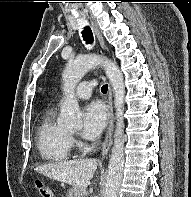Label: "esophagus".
Wrapping results in <instances>:
<instances>
[{
	"label": "esophagus",
	"mask_w": 191,
	"mask_h": 197,
	"mask_svg": "<svg viewBox=\"0 0 191 197\" xmlns=\"http://www.w3.org/2000/svg\"><path fill=\"white\" fill-rule=\"evenodd\" d=\"M91 24H92L94 33L99 41L100 46L102 47L103 50H106L105 42H104L101 32L99 31L98 27L94 24L93 21L91 22ZM108 109H109V123H108L107 132L105 135V140L102 146V152H101L102 157H105L107 155L113 142L112 134H113V129H114V113H113L112 91H111L110 85L108 88Z\"/></svg>",
	"instance_id": "1"
}]
</instances>
